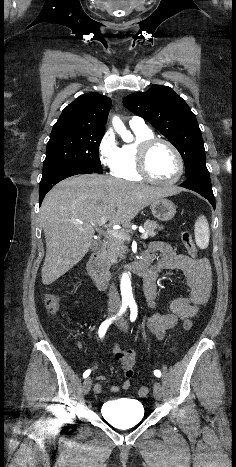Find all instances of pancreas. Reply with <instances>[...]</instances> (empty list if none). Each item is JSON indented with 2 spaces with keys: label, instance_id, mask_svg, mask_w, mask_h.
Here are the masks:
<instances>
[{
  "label": "pancreas",
  "instance_id": "1",
  "mask_svg": "<svg viewBox=\"0 0 236 467\" xmlns=\"http://www.w3.org/2000/svg\"><path fill=\"white\" fill-rule=\"evenodd\" d=\"M145 228L149 237L156 236L157 231L162 229V227L156 221L151 220H147L145 222ZM122 232L128 234L130 230H125ZM127 249L128 248L126 246L125 240L110 236L108 239L107 250L104 253V262L106 266L110 267L112 264H116L118 258L123 259Z\"/></svg>",
  "mask_w": 236,
  "mask_h": 467
}]
</instances>
